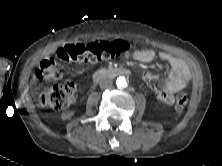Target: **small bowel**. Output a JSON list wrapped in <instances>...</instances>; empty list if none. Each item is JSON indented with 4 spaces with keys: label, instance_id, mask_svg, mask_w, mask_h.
<instances>
[{
    "label": "small bowel",
    "instance_id": "small-bowel-1",
    "mask_svg": "<svg viewBox=\"0 0 222 166\" xmlns=\"http://www.w3.org/2000/svg\"><path fill=\"white\" fill-rule=\"evenodd\" d=\"M134 60L139 62H151L156 57L169 64L171 70L168 78L163 80L162 88H156V97L164 104L172 105L175 101V93L183 90L189 83L191 75L186 62L176 56L166 52L157 53L152 49H139L132 53H127ZM146 79L153 80L156 76L147 73L144 75Z\"/></svg>",
    "mask_w": 222,
    "mask_h": 166
}]
</instances>
